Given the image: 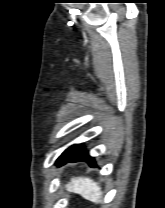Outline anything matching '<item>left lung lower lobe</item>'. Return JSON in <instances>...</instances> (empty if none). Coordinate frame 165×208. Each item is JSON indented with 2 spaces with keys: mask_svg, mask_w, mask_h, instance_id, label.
Returning <instances> with one entry per match:
<instances>
[{
  "mask_svg": "<svg viewBox=\"0 0 165 208\" xmlns=\"http://www.w3.org/2000/svg\"><path fill=\"white\" fill-rule=\"evenodd\" d=\"M67 161L68 162L86 161L91 167H96L95 159L91 157L84 148H82L81 144L72 145L68 150V152L61 159L59 165Z\"/></svg>",
  "mask_w": 165,
  "mask_h": 208,
  "instance_id": "left-lung-lower-lobe-1",
  "label": "left lung lower lobe"
}]
</instances>
